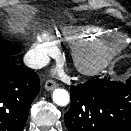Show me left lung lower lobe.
Segmentation results:
<instances>
[{"label": "left lung lower lobe", "instance_id": "left-lung-lower-lobe-1", "mask_svg": "<svg viewBox=\"0 0 131 131\" xmlns=\"http://www.w3.org/2000/svg\"><path fill=\"white\" fill-rule=\"evenodd\" d=\"M70 95L69 131H131V77L126 83L88 80L71 86Z\"/></svg>", "mask_w": 131, "mask_h": 131}]
</instances>
